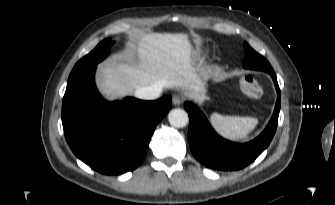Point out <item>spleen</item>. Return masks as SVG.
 I'll use <instances>...</instances> for the list:
<instances>
[{
  "instance_id": "3e777b00",
  "label": "spleen",
  "mask_w": 335,
  "mask_h": 205,
  "mask_svg": "<svg viewBox=\"0 0 335 205\" xmlns=\"http://www.w3.org/2000/svg\"><path fill=\"white\" fill-rule=\"evenodd\" d=\"M210 120L216 130L232 140H244L255 129L258 119L253 117L223 116L214 113Z\"/></svg>"
}]
</instances>
